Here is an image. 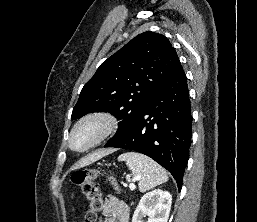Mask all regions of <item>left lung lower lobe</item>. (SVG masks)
Here are the masks:
<instances>
[{"label":"left lung lower lobe","mask_w":257,"mask_h":222,"mask_svg":"<svg viewBox=\"0 0 257 222\" xmlns=\"http://www.w3.org/2000/svg\"><path fill=\"white\" fill-rule=\"evenodd\" d=\"M191 105L182 66L148 100L137 118L104 147L134 150L167 169L181 190L191 144Z\"/></svg>","instance_id":"obj_1"}]
</instances>
